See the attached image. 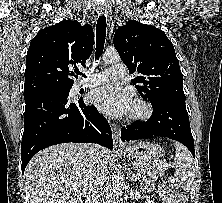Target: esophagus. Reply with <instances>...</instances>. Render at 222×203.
I'll return each instance as SVG.
<instances>
[{"mask_svg":"<svg viewBox=\"0 0 222 203\" xmlns=\"http://www.w3.org/2000/svg\"><path fill=\"white\" fill-rule=\"evenodd\" d=\"M98 14L106 15L107 8L105 6H101L98 10ZM111 130H112V135H113L114 147L116 148V147L121 146L119 128L115 123H111Z\"/></svg>","mask_w":222,"mask_h":203,"instance_id":"34e87169","label":"esophagus"}]
</instances>
